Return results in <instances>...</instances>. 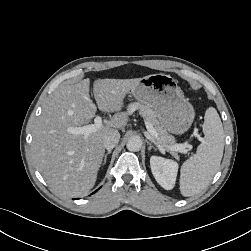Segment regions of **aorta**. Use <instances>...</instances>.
Instances as JSON below:
<instances>
[{
  "label": "aorta",
  "mask_w": 251,
  "mask_h": 251,
  "mask_svg": "<svg viewBox=\"0 0 251 251\" xmlns=\"http://www.w3.org/2000/svg\"><path fill=\"white\" fill-rule=\"evenodd\" d=\"M126 147L129 151L137 152L142 147V140L139 136H132L128 139Z\"/></svg>",
  "instance_id": "762f6f07"
}]
</instances>
